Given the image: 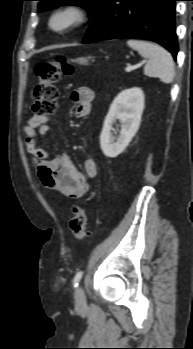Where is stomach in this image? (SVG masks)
<instances>
[{"instance_id":"1","label":"stomach","mask_w":193,"mask_h":349,"mask_svg":"<svg viewBox=\"0 0 193 349\" xmlns=\"http://www.w3.org/2000/svg\"><path fill=\"white\" fill-rule=\"evenodd\" d=\"M81 65H86L88 63V58L86 57H80L76 60Z\"/></svg>"}]
</instances>
